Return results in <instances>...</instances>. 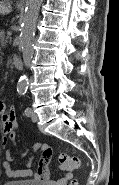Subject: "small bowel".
<instances>
[{"label":"small bowel","mask_w":119,"mask_h":185,"mask_svg":"<svg viewBox=\"0 0 119 185\" xmlns=\"http://www.w3.org/2000/svg\"><path fill=\"white\" fill-rule=\"evenodd\" d=\"M0 115L2 124V145L5 160L2 163V168L5 174L10 178H30L33 177L36 180L46 181L48 185H67L68 181L73 177L71 168L61 165L62 170L69 171L62 178L51 181L49 175V161L52 155V148L46 143L37 142L33 145L32 149H26L19 159L28 157V162L25 168L14 169L13 162L15 157L13 156V148L15 147V137L18 128V123L15 119L13 109L8 107L3 101H0ZM11 146H8V144ZM41 151V156L38 161V167L35 172L32 170V164L35 158V154Z\"/></svg>","instance_id":"1"}]
</instances>
